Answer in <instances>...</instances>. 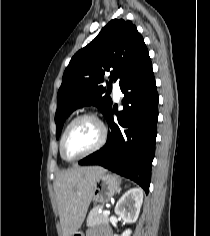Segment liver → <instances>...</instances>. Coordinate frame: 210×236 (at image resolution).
<instances>
[{"mask_svg": "<svg viewBox=\"0 0 210 236\" xmlns=\"http://www.w3.org/2000/svg\"><path fill=\"white\" fill-rule=\"evenodd\" d=\"M105 172L103 167L76 166L56 177L55 194L63 236H73L81 227L91 202L94 183Z\"/></svg>", "mask_w": 210, "mask_h": 236, "instance_id": "liver-1", "label": "liver"}]
</instances>
